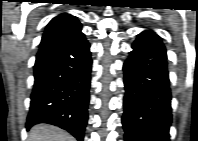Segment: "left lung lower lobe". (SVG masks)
<instances>
[{
    "label": "left lung lower lobe",
    "instance_id": "left-lung-lower-lobe-1",
    "mask_svg": "<svg viewBox=\"0 0 198 141\" xmlns=\"http://www.w3.org/2000/svg\"><path fill=\"white\" fill-rule=\"evenodd\" d=\"M123 70L125 141H169L171 90L166 49L161 39L138 35ZM143 99L150 102L149 111L143 110Z\"/></svg>",
    "mask_w": 198,
    "mask_h": 141
}]
</instances>
